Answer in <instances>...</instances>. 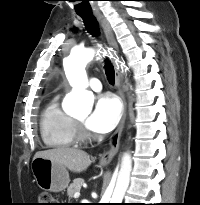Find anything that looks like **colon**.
I'll list each match as a JSON object with an SVG mask.
<instances>
[{
  "instance_id": "5ec220e1",
  "label": "colon",
  "mask_w": 200,
  "mask_h": 205,
  "mask_svg": "<svg viewBox=\"0 0 200 205\" xmlns=\"http://www.w3.org/2000/svg\"><path fill=\"white\" fill-rule=\"evenodd\" d=\"M38 205H54L52 196L49 193H41L38 197Z\"/></svg>"
}]
</instances>
